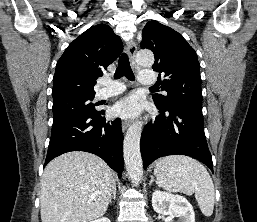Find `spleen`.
I'll return each instance as SVG.
<instances>
[{
	"mask_svg": "<svg viewBox=\"0 0 257 222\" xmlns=\"http://www.w3.org/2000/svg\"><path fill=\"white\" fill-rule=\"evenodd\" d=\"M154 174L157 184L170 192L195 193L202 213L213 214L215 190L206 168L197 160L183 155L167 156L157 161Z\"/></svg>",
	"mask_w": 257,
	"mask_h": 222,
	"instance_id": "spleen-1",
	"label": "spleen"
}]
</instances>
